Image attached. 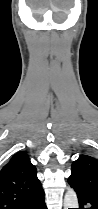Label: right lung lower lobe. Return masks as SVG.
Listing matches in <instances>:
<instances>
[{
	"label": "right lung lower lobe",
	"mask_w": 98,
	"mask_h": 209,
	"mask_svg": "<svg viewBox=\"0 0 98 209\" xmlns=\"http://www.w3.org/2000/svg\"><path fill=\"white\" fill-rule=\"evenodd\" d=\"M17 209H47L44 202V191L42 190L29 201L19 206Z\"/></svg>",
	"instance_id": "right-lung-lower-lobe-1"
}]
</instances>
